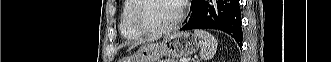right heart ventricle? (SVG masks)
I'll return each mask as SVG.
<instances>
[{
    "label": "right heart ventricle",
    "mask_w": 331,
    "mask_h": 62,
    "mask_svg": "<svg viewBox=\"0 0 331 62\" xmlns=\"http://www.w3.org/2000/svg\"><path fill=\"white\" fill-rule=\"evenodd\" d=\"M135 6V0H126L122 5L121 18H120V33L129 41L139 39L140 34L132 25L131 14Z\"/></svg>",
    "instance_id": "1"
}]
</instances>
